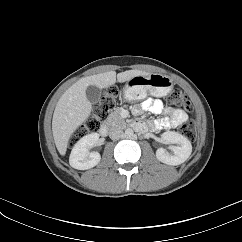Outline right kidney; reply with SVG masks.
Wrapping results in <instances>:
<instances>
[{
	"mask_svg": "<svg viewBox=\"0 0 242 242\" xmlns=\"http://www.w3.org/2000/svg\"><path fill=\"white\" fill-rule=\"evenodd\" d=\"M98 133H91L82 137L73 147L69 163L71 167L78 170H86L96 166L101 159L98 152H89V148L97 145Z\"/></svg>",
	"mask_w": 242,
	"mask_h": 242,
	"instance_id": "ca27d5eb",
	"label": "right kidney"
}]
</instances>
